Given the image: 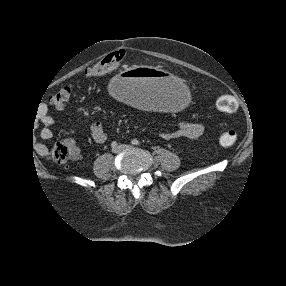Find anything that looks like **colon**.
<instances>
[{
  "mask_svg": "<svg viewBox=\"0 0 286 286\" xmlns=\"http://www.w3.org/2000/svg\"><path fill=\"white\" fill-rule=\"evenodd\" d=\"M125 53L124 51H115L108 54L96 64L91 66L86 71L88 78L100 77L116 73L120 70ZM73 94L72 85H66L60 88L50 97V103L56 108L64 107L71 99ZM216 106L219 111L223 113H235L238 110L237 100L229 95L222 96L217 100ZM238 140L237 133L234 130H225L219 135V143L223 147H232ZM51 157L59 162L63 163L73 157L71 150L65 143H56L51 148Z\"/></svg>",
  "mask_w": 286,
  "mask_h": 286,
  "instance_id": "obj_1",
  "label": "colon"
}]
</instances>
